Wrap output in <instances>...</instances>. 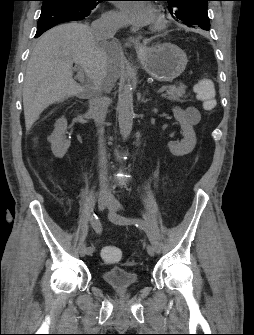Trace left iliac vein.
Segmentation results:
<instances>
[{
    "label": "left iliac vein",
    "mask_w": 254,
    "mask_h": 335,
    "mask_svg": "<svg viewBox=\"0 0 254 335\" xmlns=\"http://www.w3.org/2000/svg\"><path fill=\"white\" fill-rule=\"evenodd\" d=\"M120 208V204L116 201V200H110L109 204H108V209H109V218L111 221L118 223L115 219H114V215L116 214V212L118 211V209ZM118 224H125V223H118ZM147 252L150 256H154L156 251L154 249V247L152 245H148L147 246Z\"/></svg>",
    "instance_id": "4c4485c4"
}]
</instances>
